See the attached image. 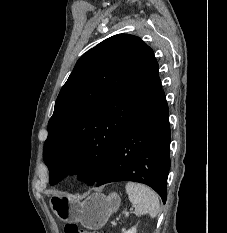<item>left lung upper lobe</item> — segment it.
Listing matches in <instances>:
<instances>
[{
  "label": "left lung upper lobe",
  "mask_w": 227,
  "mask_h": 233,
  "mask_svg": "<svg viewBox=\"0 0 227 233\" xmlns=\"http://www.w3.org/2000/svg\"><path fill=\"white\" fill-rule=\"evenodd\" d=\"M160 92L154 53L136 36L114 35L83 54L48 122L50 184L72 172L97 183L122 132Z\"/></svg>",
  "instance_id": "1"
}]
</instances>
